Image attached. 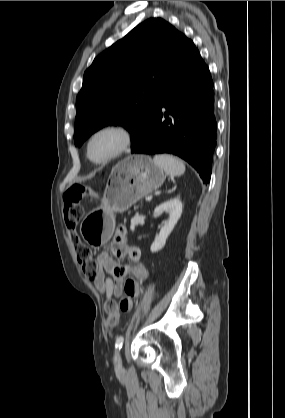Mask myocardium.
Here are the masks:
<instances>
[{"label":"myocardium","instance_id":"myocardium-1","mask_svg":"<svg viewBox=\"0 0 285 418\" xmlns=\"http://www.w3.org/2000/svg\"><path fill=\"white\" fill-rule=\"evenodd\" d=\"M104 133H113L118 136L119 142L116 148L107 156L100 160L93 159L90 154V146L95 138L104 134ZM133 137L128 128L121 124H106L98 127L92 131L86 139L85 143V155L87 159L96 165H102L114 160L126 152H128L132 146Z\"/></svg>","mask_w":285,"mask_h":418}]
</instances>
